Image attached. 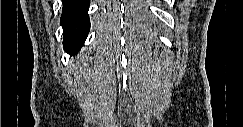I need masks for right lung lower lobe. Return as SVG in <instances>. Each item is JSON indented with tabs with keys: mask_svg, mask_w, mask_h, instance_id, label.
<instances>
[{
	"mask_svg": "<svg viewBox=\"0 0 243 127\" xmlns=\"http://www.w3.org/2000/svg\"><path fill=\"white\" fill-rule=\"evenodd\" d=\"M90 0H63L60 23L63 28V47L76 54L83 46L90 30L88 9Z\"/></svg>",
	"mask_w": 243,
	"mask_h": 127,
	"instance_id": "98d812e1",
	"label": "right lung lower lobe"
}]
</instances>
